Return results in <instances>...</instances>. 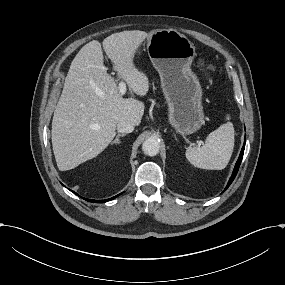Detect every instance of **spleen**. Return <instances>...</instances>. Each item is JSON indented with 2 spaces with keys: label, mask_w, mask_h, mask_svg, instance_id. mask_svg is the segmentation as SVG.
I'll return each mask as SVG.
<instances>
[{
  "label": "spleen",
  "mask_w": 285,
  "mask_h": 285,
  "mask_svg": "<svg viewBox=\"0 0 285 285\" xmlns=\"http://www.w3.org/2000/svg\"><path fill=\"white\" fill-rule=\"evenodd\" d=\"M234 147V128L223 124L205 138L202 147L185 151L187 160L195 167L206 170H222L228 164Z\"/></svg>",
  "instance_id": "obj_1"
}]
</instances>
